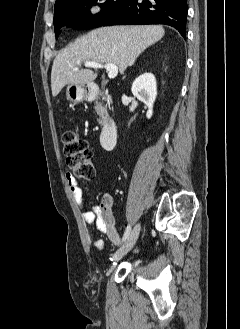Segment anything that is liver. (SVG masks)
<instances>
[{
    "label": "liver",
    "mask_w": 240,
    "mask_h": 329,
    "mask_svg": "<svg viewBox=\"0 0 240 329\" xmlns=\"http://www.w3.org/2000/svg\"><path fill=\"white\" fill-rule=\"evenodd\" d=\"M165 34L162 26L103 27L81 36L64 48L53 61L52 95L56 97L67 84L90 85L97 73L89 69L73 70L87 61L115 64L121 73L148 47Z\"/></svg>",
    "instance_id": "1"
}]
</instances>
